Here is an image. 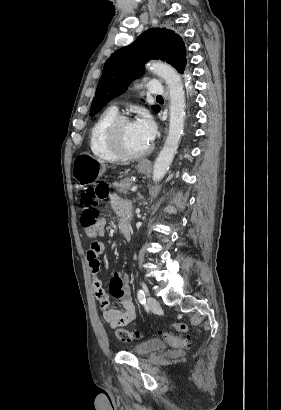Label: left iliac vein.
<instances>
[{
	"instance_id": "1",
	"label": "left iliac vein",
	"mask_w": 281,
	"mask_h": 410,
	"mask_svg": "<svg viewBox=\"0 0 281 410\" xmlns=\"http://www.w3.org/2000/svg\"><path fill=\"white\" fill-rule=\"evenodd\" d=\"M147 304L151 309H158L160 307L158 300L151 296L147 297Z\"/></svg>"
}]
</instances>
